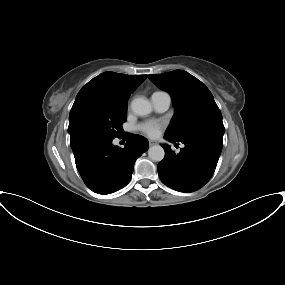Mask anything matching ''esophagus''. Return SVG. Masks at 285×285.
<instances>
[{
    "mask_svg": "<svg viewBox=\"0 0 285 285\" xmlns=\"http://www.w3.org/2000/svg\"><path fill=\"white\" fill-rule=\"evenodd\" d=\"M156 144H157L156 141H154V140H149V146H154V145H156Z\"/></svg>",
    "mask_w": 285,
    "mask_h": 285,
    "instance_id": "obj_1",
    "label": "esophagus"
}]
</instances>
